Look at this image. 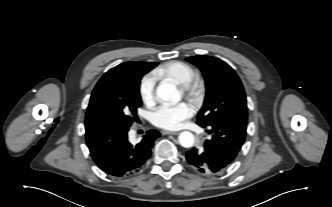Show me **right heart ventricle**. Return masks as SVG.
Returning a JSON list of instances; mask_svg holds the SVG:
<instances>
[{
	"label": "right heart ventricle",
	"mask_w": 332,
	"mask_h": 207,
	"mask_svg": "<svg viewBox=\"0 0 332 207\" xmlns=\"http://www.w3.org/2000/svg\"><path fill=\"white\" fill-rule=\"evenodd\" d=\"M154 75L157 78L170 79L179 85H183L195 75V71L190 64L174 60L157 68Z\"/></svg>",
	"instance_id": "obj_1"
}]
</instances>
